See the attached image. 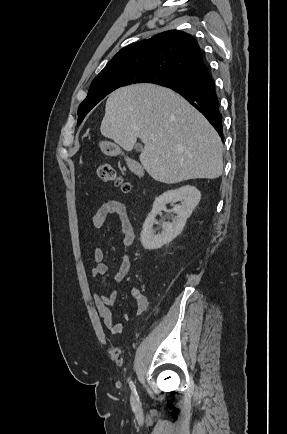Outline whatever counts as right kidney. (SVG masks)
I'll return each mask as SVG.
<instances>
[{
  "mask_svg": "<svg viewBox=\"0 0 287 434\" xmlns=\"http://www.w3.org/2000/svg\"><path fill=\"white\" fill-rule=\"evenodd\" d=\"M200 199V191L195 186L191 185L169 190L156 198L153 203V208L143 224L140 237L143 247L148 250H156L175 239L182 232L187 219L192 214V211L197 206ZM177 202H180V204L175 205L172 209L176 214L173 221L163 223L162 232L155 234L153 225L156 215L165 209L166 204H174Z\"/></svg>",
  "mask_w": 287,
  "mask_h": 434,
  "instance_id": "1",
  "label": "right kidney"
}]
</instances>
